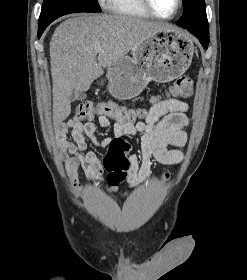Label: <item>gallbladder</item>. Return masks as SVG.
<instances>
[{
    "label": "gallbladder",
    "instance_id": "gallbladder-1",
    "mask_svg": "<svg viewBox=\"0 0 247 280\" xmlns=\"http://www.w3.org/2000/svg\"><path fill=\"white\" fill-rule=\"evenodd\" d=\"M76 99H85V95H77L76 93H72L70 100L71 101H75Z\"/></svg>",
    "mask_w": 247,
    "mask_h": 280
}]
</instances>
